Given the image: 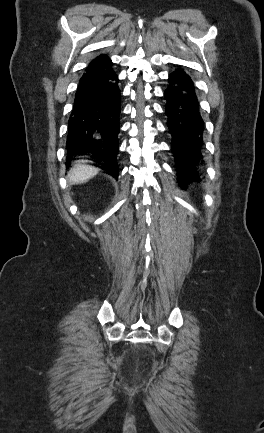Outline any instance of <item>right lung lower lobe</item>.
<instances>
[{
  "instance_id": "right-lung-lower-lobe-1",
  "label": "right lung lower lobe",
  "mask_w": 264,
  "mask_h": 433,
  "mask_svg": "<svg viewBox=\"0 0 264 433\" xmlns=\"http://www.w3.org/2000/svg\"><path fill=\"white\" fill-rule=\"evenodd\" d=\"M106 55L95 58L79 81L68 122V157L91 153L109 174L118 178L120 116L118 76Z\"/></svg>"
}]
</instances>
